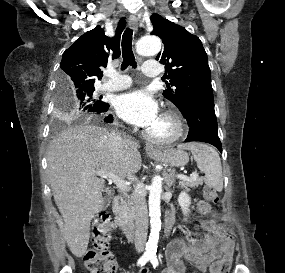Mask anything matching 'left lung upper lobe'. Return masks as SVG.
Instances as JSON below:
<instances>
[{
  "label": "left lung upper lobe",
  "mask_w": 285,
  "mask_h": 273,
  "mask_svg": "<svg viewBox=\"0 0 285 273\" xmlns=\"http://www.w3.org/2000/svg\"><path fill=\"white\" fill-rule=\"evenodd\" d=\"M150 19L154 28L151 34L164 43V50L156 58L165 64L168 73L164 97L180 110L193 104L214 103L207 54L200 39L158 14Z\"/></svg>",
  "instance_id": "1"
}]
</instances>
